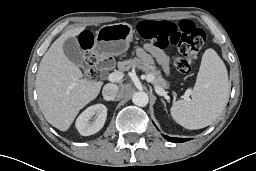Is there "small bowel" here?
<instances>
[{
  "label": "small bowel",
  "mask_w": 256,
  "mask_h": 171,
  "mask_svg": "<svg viewBox=\"0 0 256 171\" xmlns=\"http://www.w3.org/2000/svg\"><path fill=\"white\" fill-rule=\"evenodd\" d=\"M147 52L156 59L164 71L168 70V57L161 49L146 44L138 50L139 55L142 57H145Z\"/></svg>",
  "instance_id": "small-bowel-1"
}]
</instances>
